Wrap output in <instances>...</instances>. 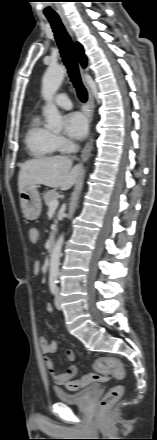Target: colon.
<instances>
[{"label":"colon","mask_w":157,"mask_h":440,"mask_svg":"<svg viewBox=\"0 0 157 440\" xmlns=\"http://www.w3.org/2000/svg\"><path fill=\"white\" fill-rule=\"evenodd\" d=\"M29 240L32 244H37L40 239V233L38 229L32 227L28 232ZM96 373L87 374L80 379L69 380L65 383V386L70 391H77L89 384L97 381H104L109 374H113L116 378L124 379L126 372L121 361L113 357H104L99 359L95 364ZM124 392V386L117 384L113 386L102 398V408H108L116 403Z\"/></svg>","instance_id":"colon-1"}]
</instances>
